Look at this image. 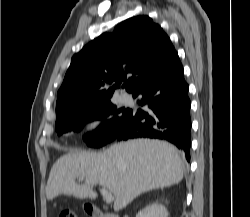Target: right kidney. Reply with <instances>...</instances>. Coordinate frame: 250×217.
<instances>
[{
    "label": "right kidney",
    "instance_id": "obj_1",
    "mask_svg": "<svg viewBox=\"0 0 250 217\" xmlns=\"http://www.w3.org/2000/svg\"><path fill=\"white\" fill-rule=\"evenodd\" d=\"M136 217H168V211L162 204L154 203L138 212Z\"/></svg>",
    "mask_w": 250,
    "mask_h": 217
}]
</instances>
